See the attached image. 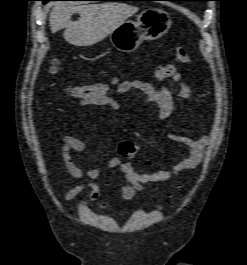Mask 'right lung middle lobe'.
<instances>
[{"mask_svg": "<svg viewBox=\"0 0 247 265\" xmlns=\"http://www.w3.org/2000/svg\"><path fill=\"white\" fill-rule=\"evenodd\" d=\"M44 3H47L48 1L52 0H42ZM97 1H122V0H97Z\"/></svg>", "mask_w": 247, "mask_h": 265, "instance_id": "obj_1", "label": "right lung middle lobe"}]
</instances>
